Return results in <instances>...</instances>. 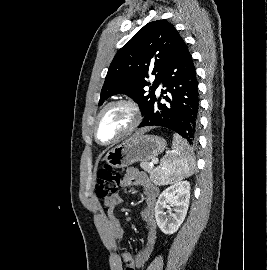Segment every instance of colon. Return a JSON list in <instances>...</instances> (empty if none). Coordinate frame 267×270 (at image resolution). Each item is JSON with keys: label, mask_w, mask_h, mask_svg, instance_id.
Wrapping results in <instances>:
<instances>
[{"label": "colon", "mask_w": 267, "mask_h": 270, "mask_svg": "<svg viewBox=\"0 0 267 270\" xmlns=\"http://www.w3.org/2000/svg\"><path fill=\"white\" fill-rule=\"evenodd\" d=\"M120 187V176L111 167L105 166L97 173L96 195L100 199H107L116 194ZM126 270H134L132 260L127 262Z\"/></svg>", "instance_id": "colon-1"}]
</instances>
